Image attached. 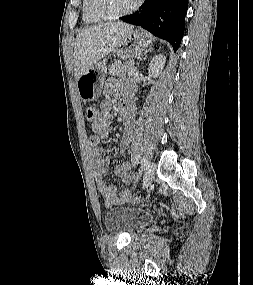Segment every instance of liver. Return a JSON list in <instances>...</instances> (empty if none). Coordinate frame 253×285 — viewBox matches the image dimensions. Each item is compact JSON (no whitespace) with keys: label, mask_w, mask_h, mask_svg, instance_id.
Here are the masks:
<instances>
[{"label":"liver","mask_w":253,"mask_h":285,"mask_svg":"<svg viewBox=\"0 0 253 285\" xmlns=\"http://www.w3.org/2000/svg\"><path fill=\"white\" fill-rule=\"evenodd\" d=\"M133 25L122 22L107 23L81 30L74 46L75 80L111 53Z\"/></svg>","instance_id":"obj_1"}]
</instances>
